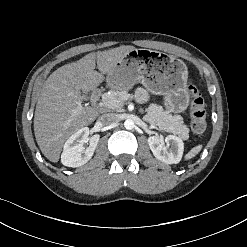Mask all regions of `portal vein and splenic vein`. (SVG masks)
<instances>
[{"mask_svg": "<svg viewBox=\"0 0 247 247\" xmlns=\"http://www.w3.org/2000/svg\"><path fill=\"white\" fill-rule=\"evenodd\" d=\"M102 104L105 106V107H108V108H116L119 106V101L117 100H110V101H103Z\"/></svg>", "mask_w": 247, "mask_h": 247, "instance_id": "18ae733b", "label": "portal vein and splenic vein"}]
</instances>
